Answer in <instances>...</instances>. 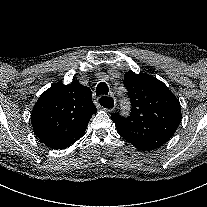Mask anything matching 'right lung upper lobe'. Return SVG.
I'll return each instance as SVG.
<instances>
[{
	"mask_svg": "<svg viewBox=\"0 0 207 207\" xmlns=\"http://www.w3.org/2000/svg\"><path fill=\"white\" fill-rule=\"evenodd\" d=\"M97 109L90 88L78 80L61 81L43 92L37 100L31 122L36 136L52 149H64L80 139Z\"/></svg>",
	"mask_w": 207,
	"mask_h": 207,
	"instance_id": "cb5924a9",
	"label": "right lung upper lobe"
}]
</instances>
